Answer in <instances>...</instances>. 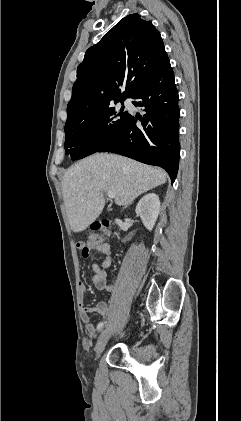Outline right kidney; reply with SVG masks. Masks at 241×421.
Segmentation results:
<instances>
[{"label":"right kidney","instance_id":"1","mask_svg":"<svg viewBox=\"0 0 241 421\" xmlns=\"http://www.w3.org/2000/svg\"><path fill=\"white\" fill-rule=\"evenodd\" d=\"M135 211L141 218L144 226L151 231L160 213L159 197L154 193L145 195L138 202Z\"/></svg>","mask_w":241,"mask_h":421}]
</instances>
